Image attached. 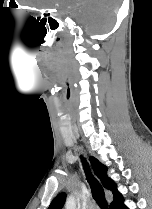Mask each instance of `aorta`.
<instances>
[{
  "mask_svg": "<svg viewBox=\"0 0 152 209\" xmlns=\"http://www.w3.org/2000/svg\"><path fill=\"white\" fill-rule=\"evenodd\" d=\"M65 209H76V200L74 195L68 196L65 203Z\"/></svg>",
  "mask_w": 152,
  "mask_h": 209,
  "instance_id": "1",
  "label": "aorta"
}]
</instances>
